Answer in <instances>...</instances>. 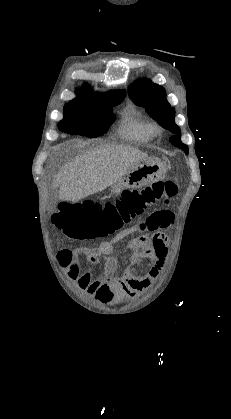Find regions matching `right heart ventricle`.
<instances>
[{
  "instance_id": "e07e8e85",
  "label": "right heart ventricle",
  "mask_w": 231,
  "mask_h": 419,
  "mask_svg": "<svg viewBox=\"0 0 231 419\" xmlns=\"http://www.w3.org/2000/svg\"><path fill=\"white\" fill-rule=\"evenodd\" d=\"M120 134L135 142H146L152 135V127L143 116L129 112L122 121Z\"/></svg>"
}]
</instances>
